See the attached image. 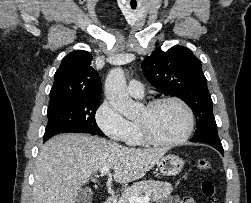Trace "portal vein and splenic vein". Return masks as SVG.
Segmentation results:
<instances>
[{
  "label": "portal vein and splenic vein",
  "instance_id": "18ae733b",
  "mask_svg": "<svg viewBox=\"0 0 251 203\" xmlns=\"http://www.w3.org/2000/svg\"><path fill=\"white\" fill-rule=\"evenodd\" d=\"M101 175H106L110 173V168L109 167H102L100 169ZM150 198L148 196L146 197H136V196H131L129 197V203H149Z\"/></svg>",
  "mask_w": 251,
  "mask_h": 203
}]
</instances>
